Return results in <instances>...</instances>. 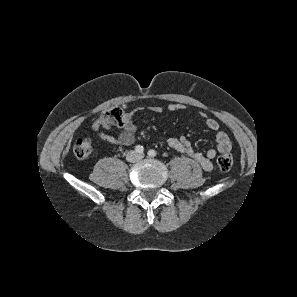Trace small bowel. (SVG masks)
Here are the masks:
<instances>
[{"label":"small bowel","mask_w":297,"mask_h":297,"mask_svg":"<svg viewBox=\"0 0 297 297\" xmlns=\"http://www.w3.org/2000/svg\"><path fill=\"white\" fill-rule=\"evenodd\" d=\"M184 108L185 106L182 104H170L168 105L167 110L175 112L181 111ZM151 110L155 113H162L164 108L161 106H154ZM198 116L204 119L208 129L215 132V147L210 148L205 154L200 153L193 149L190 141L186 137H171L167 140V144L171 149L194 160L204 171L209 172L213 168L212 160L216 157V155L218 153H225L231 150V142L228 135L224 131L219 130V122L215 118L208 116L202 111L198 112ZM121 127L122 132L118 136H112L102 130L108 128L107 124L102 123L100 120H97L93 124L94 130L102 140L115 145H132L135 142L137 127L131 119L130 114H126L125 121Z\"/></svg>","instance_id":"c3829d8e"}]
</instances>
